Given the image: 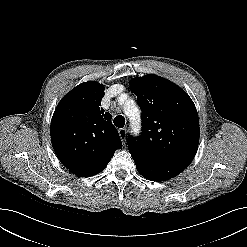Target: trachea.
Segmentation results:
<instances>
[{"label":"trachea","instance_id":"3493384b","mask_svg":"<svg viewBox=\"0 0 247 247\" xmlns=\"http://www.w3.org/2000/svg\"><path fill=\"white\" fill-rule=\"evenodd\" d=\"M113 123L118 128H123L125 125V118L122 115H118L114 118Z\"/></svg>","mask_w":247,"mask_h":247}]
</instances>
